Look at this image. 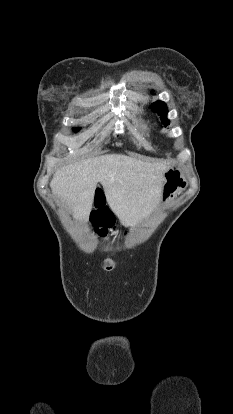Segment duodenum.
Returning <instances> with one entry per match:
<instances>
[{
  "label": "duodenum",
  "instance_id": "1",
  "mask_svg": "<svg viewBox=\"0 0 233 414\" xmlns=\"http://www.w3.org/2000/svg\"><path fill=\"white\" fill-rule=\"evenodd\" d=\"M95 194L98 195L96 197V206L99 212H108L110 209V206L108 203H105V197L103 196L104 194V189L101 188L100 186H97L95 189Z\"/></svg>",
  "mask_w": 233,
  "mask_h": 414
}]
</instances>
